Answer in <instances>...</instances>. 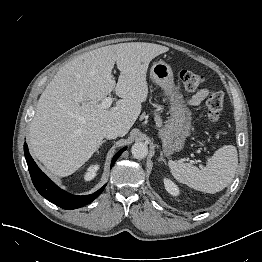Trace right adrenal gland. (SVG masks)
<instances>
[{"label": "right adrenal gland", "mask_w": 262, "mask_h": 262, "mask_svg": "<svg viewBox=\"0 0 262 262\" xmlns=\"http://www.w3.org/2000/svg\"><path fill=\"white\" fill-rule=\"evenodd\" d=\"M106 142V140H103L101 143H100V146L103 144V143H105ZM100 146H99V148H100ZM98 148V149H99ZM97 153H99V151L97 150Z\"/></svg>", "instance_id": "1"}]
</instances>
